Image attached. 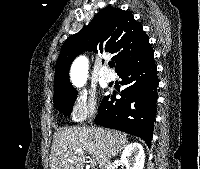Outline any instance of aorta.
Returning a JSON list of instances; mask_svg holds the SVG:
<instances>
[{
	"instance_id": "obj_1",
	"label": "aorta",
	"mask_w": 200,
	"mask_h": 169,
	"mask_svg": "<svg viewBox=\"0 0 200 169\" xmlns=\"http://www.w3.org/2000/svg\"><path fill=\"white\" fill-rule=\"evenodd\" d=\"M88 61L85 57H79L71 67V80L74 85L82 86L87 78Z\"/></svg>"
}]
</instances>
